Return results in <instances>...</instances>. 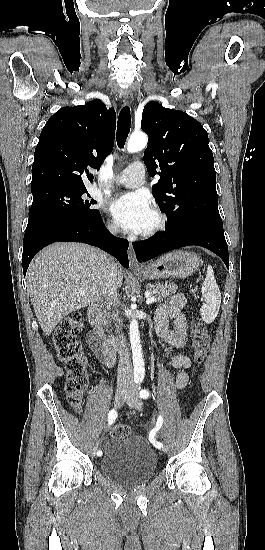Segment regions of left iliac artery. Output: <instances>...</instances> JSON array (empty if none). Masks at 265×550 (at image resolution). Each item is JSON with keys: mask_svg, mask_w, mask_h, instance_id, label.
I'll list each match as a JSON object with an SVG mask.
<instances>
[{"mask_svg": "<svg viewBox=\"0 0 265 550\" xmlns=\"http://www.w3.org/2000/svg\"><path fill=\"white\" fill-rule=\"evenodd\" d=\"M141 381H142L141 379L137 380L138 383L141 382ZM139 394H140V397L143 398V399L148 398L149 395H150L149 391L145 390V389L141 390ZM162 424H163V417L160 415L157 419L156 427L149 434L150 442L158 449L163 448V444L155 440V434L159 430V428L162 426Z\"/></svg>", "mask_w": 265, "mask_h": 550, "instance_id": "44dca946", "label": "left iliac artery"}]
</instances>
